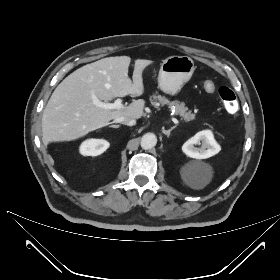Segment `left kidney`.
Returning a JSON list of instances; mask_svg holds the SVG:
<instances>
[{
	"label": "left kidney",
	"instance_id": "5707ae66",
	"mask_svg": "<svg viewBox=\"0 0 280 280\" xmlns=\"http://www.w3.org/2000/svg\"><path fill=\"white\" fill-rule=\"evenodd\" d=\"M200 142H202L201 148L195 147ZM220 150V145L215 141L213 133L210 130L198 132L182 146V151L187 156L195 159H207L219 153ZM185 181L193 187H202L206 183V179L199 181L194 173L187 174Z\"/></svg>",
	"mask_w": 280,
	"mask_h": 280
}]
</instances>
